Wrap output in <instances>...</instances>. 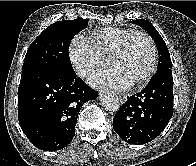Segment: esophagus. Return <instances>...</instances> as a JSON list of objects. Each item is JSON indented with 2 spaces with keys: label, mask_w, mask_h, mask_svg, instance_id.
Instances as JSON below:
<instances>
[{
  "label": "esophagus",
  "mask_w": 196,
  "mask_h": 166,
  "mask_svg": "<svg viewBox=\"0 0 196 166\" xmlns=\"http://www.w3.org/2000/svg\"><path fill=\"white\" fill-rule=\"evenodd\" d=\"M119 100L121 103H125L127 100V97L125 95H119Z\"/></svg>",
  "instance_id": "1"
}]
</instances>
